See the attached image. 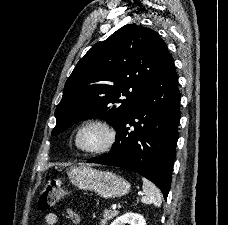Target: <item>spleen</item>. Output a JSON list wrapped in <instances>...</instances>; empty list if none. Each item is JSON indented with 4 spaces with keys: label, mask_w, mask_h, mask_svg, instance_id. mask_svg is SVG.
Masks as SVG:
<instances>
[{
    "label": "spleen",
    "mask_w": 228,
    "mask_h": 225,
    "mask_svg": "<svg viewBox=\"0 0 228 225\" xmlns=\"http://www.w3.org/2000/svg\"><path fill=\"white\" fill-rule=\"evenodd\" d=\"M143 181V193L142 203L145 205H155V207H161V193L153 183H150L148 179H142Z\"/></svg>",
    "instance_id": "obj_1"
}]
</instances>
